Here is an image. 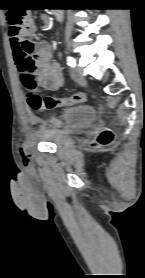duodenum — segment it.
<instances>
[{"mask_svg":"<svg viewBox=\"0 0 145 278\" xmlns=\"http://www.w3.org/2000/svg\"><path fill=\"white\" fill-rule=\"evenodd\" d=\"M53 18L58 21L61 20L62 19V11L60 9H55Z\"/></svg>","mask_w":145,"mask_h":278,"instance_id":"duodenum-1","label":"duodenum"}]
</instances>
